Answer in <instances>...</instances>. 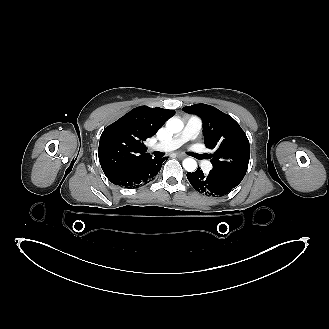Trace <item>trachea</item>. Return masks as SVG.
Instances as JSON below:
<instances>
[{"instance_id": "trachea-1", "label": "trachea", "mask_w": 329, "mask_h": 329, "mask_svg": "<svg viewBox=\"0 0 329 329\" xmlns=\"http://www.w3.org/2000/svg\"><path fill=\"white\" fill-rule=\"evenodd\" d=\"M154 155H155L156 157H162V156H163V153L158 152V151H155V152H154Z\"/></svg>"}]
</instances>
